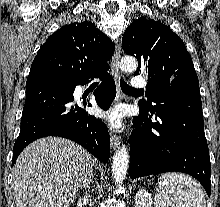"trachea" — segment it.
Listing matches in <instances>:
<instances>
[{"label":"trachea","instance_id":"1","mask_svg":"<svg viewBox=\"0 0 220 207\" xmlns=\"http://www.w3.org/2000/svg\"><path fill=\"white\" fill-rule=\"evenodd\" d=\"M120 86H121L122 91H124V92H139L140 91V90H137V89L130 87L122 79H120Z\"/></svg>","mask_w":220,"mask_h":207}]
</instances>
